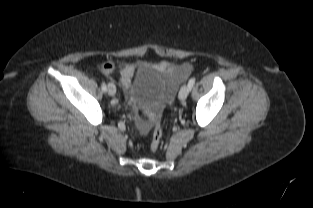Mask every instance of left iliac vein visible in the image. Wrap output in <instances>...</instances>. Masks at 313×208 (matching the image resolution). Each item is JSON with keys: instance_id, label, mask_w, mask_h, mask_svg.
Here are the masks:
<instances>
[{"instance_id": "left-iliac-vein-1", "label": "left iliac vein", "mask_w": 313, "mask_h": 208, "mask_svg": "<svg viewBox=\"0 0 313 208\" xmlns=\"http://www.w3.org/2000/svg\"><path fill=\"white\" fill-rule=\"evenodd\" d=\"M188 94H189V87L188 85H184L180 89L178 97L181 101H184L187 98Z\"/></svg>"}]
</instances>
